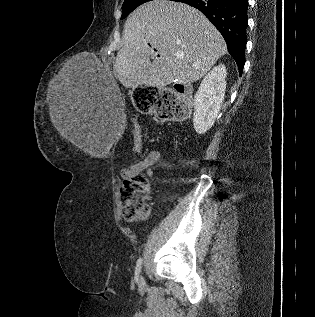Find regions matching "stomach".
Masks as SVG:
<instances>
[{
  "label": "stomach",
  "mask_w": 315,
  "mask_h": 317,
  "mask_svg": "<svg viewBox=\"0 0 315 317\" xmlns=\"http://www.w3.org/2000/svg\"><path fill=\"white\" fill-rule=\"evenodd\" d=\"M134 104L137 111H156L157 97H145V95H161V88H154L153 84H137L136 88H132Z\"/></svg>",
  "instance_id": "obj_1"
}]
</instances>
